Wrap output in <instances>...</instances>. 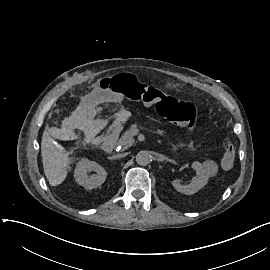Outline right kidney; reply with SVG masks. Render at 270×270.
<instances>
[{
  "label": "right kidney",
  "instance_id": "obj_1",
  "mask_svg": "<svg viewBox=\"0 0 270 270\" xmlns=\"http://www.w3.org/2000/svg\"><path fill=\"white\" fill-rule=\"evenodd\" d=\"M93 173L90 175V173ZM107 178V172L96 162L82 160L78 163L75 171V179L79 185L87 189L97 188L102 185Z\"/></svg>",
  "mask_w": 270,
  "mask_h": 270
}]
</instances>
